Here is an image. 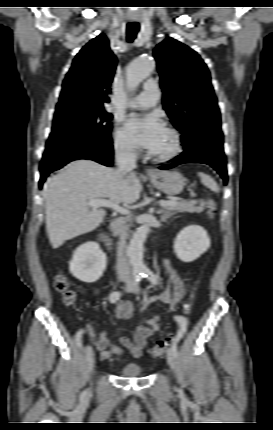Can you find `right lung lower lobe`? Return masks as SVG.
Here are the masks:
<instances>
[{
    "label": "right lung lower lobe",
    "mask_w": 273,
    "mask_h": 430,
    "mask_svg": "<svg viewBox=\"0 0 273 430\" xmlns=\"http://www.w3.org/2000/svg\"><path fill=\"white\" fill-rule=\"evenodd\" d=\"M77 159H89L106 166H111L113 160V147L112 145L108 147H82L42 159L40 165L41 178L39 181V187L42 188L46 177L51 172L58 170L70 161Z\"/></svg>",
    "instance_id": "1"
}]
</instances>
